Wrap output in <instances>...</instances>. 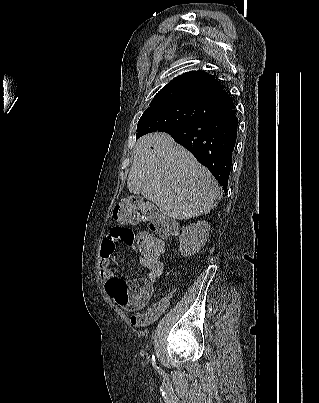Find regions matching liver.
Returning <instances> with one entry per match:
<instances>
[{"label":"liver","mask_w":319,"mask_h":403,"mask_svg":"<svg viewBox=\"0 0 319 403\" xmlns=\"http://www.w3.org/2000/svg\"><path fill=\"white\" fill-rule=\"evenodd\" d=\"M127 186L177 220L207 214L220 194L210 171L164 132L138 139Z\"/></svg>","instance_id":"liver-1"}]
</instances>
